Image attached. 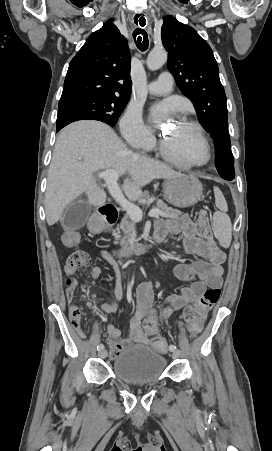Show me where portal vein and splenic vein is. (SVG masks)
I'll return each mask as SVG.
<instances>
[{
	"instance_id": "1",
	"label": "portal vein and splenic vein",
	"mask_w": 272,
	"mask_h": 451,
	"mask_svg": "<svg viewBox=\"0 0 272 451\" xmlns=\"http://www.w3.org/2000/svg\"><path fill=\"white\" fill-rule=\"evenodd\" d=\"M78 160H82V158H78ZM98 178L105 180L112 198H114L116 202H119L121 208L129 214L131 220H134V222H141L142 210H140L138 206H135V204H132V202H128L125 196H123L117 184V180L119 178L118 172H116V170H105V172H100V174H98ZM148 216H150V218H159V216H162V218H168V216H165L161 210H150Z\"/></svg>"
}]
</instances>
